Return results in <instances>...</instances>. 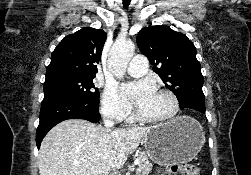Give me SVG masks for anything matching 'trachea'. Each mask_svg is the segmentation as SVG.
Listing matches in <instances>:
<instances>
[{
  "mask_svg": "<svg viewBox=\"0 0 251 175\" xmlns=\"http://www.w3.org/2000/svg\"><path fill=\"white\" fill-rule=\"evenodd\" d=\"M130 1H131V0H123V5H124V8H125V9L128 8V5L130 4Z\"/></svg>",
  "mask_w": 251,
  "mask_h": 175,
  "instance_id": "1",
  "label": "trachea"
}]
</instances>
